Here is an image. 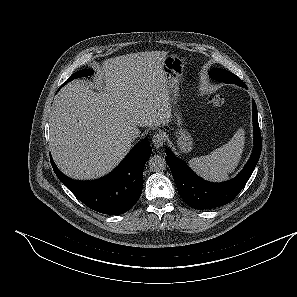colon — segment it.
I'll use <instances>...</instances> for the list:
<instances>
[{
    "label": "colon",
    "mask_w": 297,
    "mask_h": 297,
    "mask_svg": "<svg viewBox=\"0 0 297 297\" xmlns=\"http://www.w3.org/2000/svg\"><path fill=\"white\" fill-rule=\"evenodd\" d=\"M226 102H227L226 98L221 95L212 96L208 99V103L215 107L224 106Z\"/></svg>",
    "instance_id": "1"
}]
</instances>
